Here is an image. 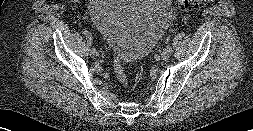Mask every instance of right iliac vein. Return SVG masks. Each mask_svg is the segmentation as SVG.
I'll return each instance as SVG.
<instances>
[{
    "mask_svg": "<svg viewBox=\"0 0 253 131\" xmlns=\"http://www.w3.org/2000/svg\"><path fill=\"white\" fill-rule=\"evenodd\" d=\"M91 52V55H93V56H97L98 55V51L96 50L95 52H92V51H90Z\"/></svg>",
    "mask_w": 253,
    "mask_h": 131,
    "instance_id": "1",
    "label": "right iliac vein"
}]
</instances>
